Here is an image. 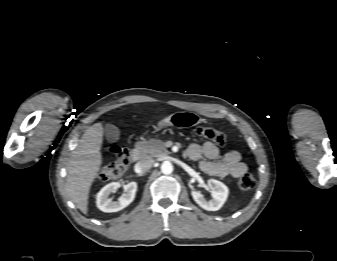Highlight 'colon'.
Instances as JSON below:
<instances>
[{
    "label": "colon",
    "mask_w": 337,
    "mask_h": 261,
    "mask_svg": "<svg viewBox=\"0 0 337 261\" xmlns=\"http://www.w3.org/2000/svg\"><path fill=\"white\" fill-rule=\"evenodd\" d=\"M198 137L207 139L219 146H223L226 142V136L219 130L210 127H198L195 130ZM111 152L115 155L116 160L110 164L104 165L98 172V179L111 180L121 177L129 168L131 163L130 152L127 148L114 145L111 147ZM255 186L254 177L245 173L237 181V187L240 190H250Z\"/></svg>",
    "instance_id": "colon-1"
}]
</instances>
